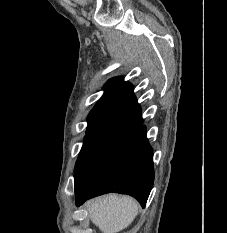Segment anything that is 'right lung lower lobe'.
<instances>
[{
  "label": "right lung lower lobe",
  "mask_w": 227,
  "mask_h": 233,
  "mask_svg": "<svg viewBox=\"0 0 227 233\" xmlns=\"http://www.w3.org/2000/svg\"><path fill=\"white\" fill-rule=\"evenodd\" d=\"M154 182L153 150L140 125L118 138L75 187L76 205L101 194H128L145 206Z\"/></svg>",
  "instance_id": "obj_1"
}]
</instances>
